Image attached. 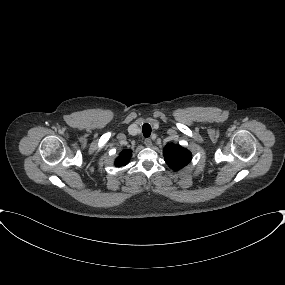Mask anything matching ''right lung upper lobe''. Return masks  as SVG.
Segmentation results:
<instances>
[{
    "mask_svg": "<svg viewBox=\"0 0 285 285\" xmlns=\"http://www.w3.org/2000/svg\"><path fill=\"white\" fill-rule=\"evenodd\" d=\"M132 155V151L124 150L119 154V157L115 161V165L120 167L122 165H126L129 162V159Z\"/></svg>",
    "mask_w": 285,
    "mask_h": 285,
    "instance_id": "cb5924a9",
    "label": "right lung upper lobe"
}]
</instances>
